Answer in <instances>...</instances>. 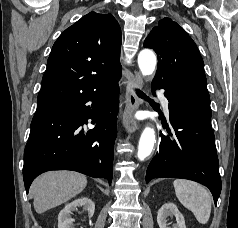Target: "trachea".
Wrapping results in <instances>:
<instances>
[{"label":"trachea","mask_w":238,"mask_h":228,"mask_svg":"<svg viewBox=\"0 0 238 228\" xmlns=\"http://www.w3.org/2000/svg\"><path fill=\"white\" fill-rule=\"evenodd\" d=\"M137 95L141 98H148L143 92L137 90Z\"/></svg>","instance_id":"obj_1"}]
</instances>
